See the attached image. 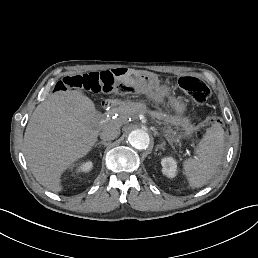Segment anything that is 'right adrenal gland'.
<instances>
[{
  "instance_id": "obj_1",
  "label": "right adrenal gland",
  "mask_w": 258,
  "mask_h": 258,
  "mask_svg": "<svg viewBox=\"0 0 258 258\" xmlns=\"http://www.w3.org/2000/svg\"><path fill=\"white\" fill-rule=\"evenodd\" d=\"M101 144L104 145L105 147L108 146V143L105 141L98 142L97 144H95V146L101 145Z\"/></svg>"
}]
</instances>
